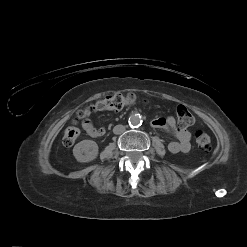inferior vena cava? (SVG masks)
Masks as SVG:
<instances>
[{
  "label": "inferior vena cava",
  "instance_id": "602c4592",
  "mask_svg": "<svg viewBox=\"0 0 247 247\" xmlns=\"http://www.w3.org/2000/svg\"><path fill=\"white\" fill-rule=\"evenodd\" d=\"M125 132V126L123 125H116L114 128H113V133L114 134H122Z\"/></svg>",
  "mask_w": 247,
  "mask_h": 247
}]
</instances>
